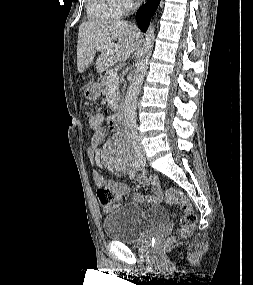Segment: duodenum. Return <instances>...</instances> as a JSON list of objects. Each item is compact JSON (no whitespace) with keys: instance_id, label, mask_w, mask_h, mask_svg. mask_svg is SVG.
<instances>
[{"instance_id":"1","label":"duodenum","mask_w":253,"mask_h":285,"mask_svg":"<svg viewBox=\"0 0 253 285\" xmlns=\"http://www.w3.org/2000/svg\"><path fill=\"white\" fill-rule=\"evenodd\" d=\"M124 120V107L121 105L118 107L114 117H113V126L114 128H119Z\"/></svg>"}]
</instances>
